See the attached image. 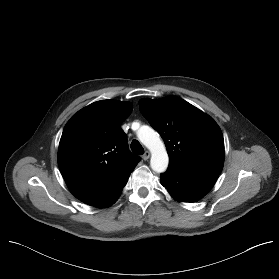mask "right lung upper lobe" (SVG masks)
Here are the masks:
<instances>
[{
    "label": "right lung upper lobe",
    "mask_w": 279,
    "mask_h": 279,
    "mask_svg": "<svg viewBox=\"0 0 279 279\" xmlns=\"http://www.w3.org/2000/svg\"><path fill=\"white\" fill-rule=\"evenodd\" d=\"M131 111L129 102L101 100L67 122L59 143L58 165L79 200L90 201L126 183L140 161L129 151L120 128Z\"/></svg>",
    "instance_id": "obj_1"
}]
</instances>
